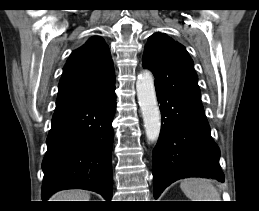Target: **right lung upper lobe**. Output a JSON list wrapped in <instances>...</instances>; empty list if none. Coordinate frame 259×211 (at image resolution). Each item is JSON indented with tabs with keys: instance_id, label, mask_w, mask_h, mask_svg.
<instances>
[{
	"instance_id": "obj_1",
	"label": "right lung upper lobe",
	"mask_w": 259,
	"mask_h": 211,
	"mask_svg": "<svg viewBox=\"0 0 259 211\" xmlns=\"http://www.w3.org/2000/svg\"><path fill=\"white\" fill-rule=\"evenodd\" d=\"M109 47L98 36L70 55L59 83L56 109L81 104L115 88Z\"/></svg>"
}]
</instances>
